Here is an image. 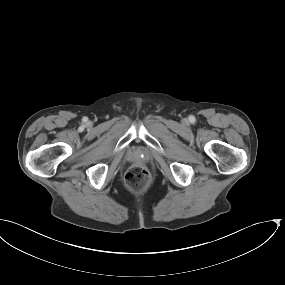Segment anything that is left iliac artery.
<instances>
[{"instance_id":"obj_1","label":"left iliac artery","mask_w":285,"mask_h":285,"mask_svg":"<svg viewBox=\"0 0 285 285\" xmlns=\"http://www.w3.org/2000/svg\"><path fill=\"white\" fill-rule=\"evenodd\" d=\"M194 120H195V118L191 119V121H194Z\"/></svg>"}]
</instances>
